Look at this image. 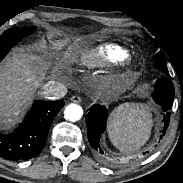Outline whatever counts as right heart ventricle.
Listing matches in <instances>:
<instances>
[{"label":"right heart ventricle","instance_id":"e07e8e85","mask_svg":"<svg viewBox=\"0 0 183 183\" xmlns=\"http://www.w3.org/2000/svg\"><path fill=\"white\" fill-rule=\"evenodd\" d=\"M129 54V51L115 44H104L83 51L79 62L84 67H95L105 63H116Z\"/></svg>","mask_w":183,"mask_h":183}]
</instances>
